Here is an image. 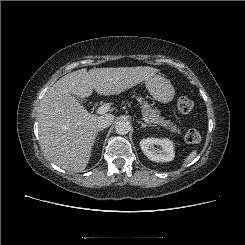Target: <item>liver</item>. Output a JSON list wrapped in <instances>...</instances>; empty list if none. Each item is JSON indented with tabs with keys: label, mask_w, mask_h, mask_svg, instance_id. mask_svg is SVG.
Returning a JSON list of instances; mask_svg holds the SVG:
<instances>
[{
	"label": "liver",
	"mask_w": 245,
	"mask_h": 245,
	"mask_svg": "<svg viewBox=\"0 0 245 245\" xmlns=\"http://www.w3.org/2000/svg\"><path fill=\"white\" fill-rule=\"evenodd\" d=\"M148 66L79 69L60 78L43 97L38 113L40 145L48 158L67 171H83L89 163L98 117L74 95L86 98L117 95L152 77Z\"/></svg>",
	"instance_id": "6515ba94"
}]
</instances>
